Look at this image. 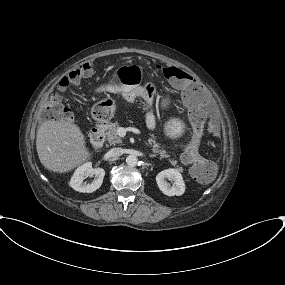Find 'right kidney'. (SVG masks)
Here are the masks:
<instances>
[{
    "instance_id": "obj_1",
    "label": "right kidney",
    "mask_w": 285,
    "mask_h": 285,
    "mask_svg": "<svg viewBox=\"0 0 285 285\" xmlns=\"http://www.w3.org/2000/svg\"><path fill=\"white\" fill-rule=\"evenodd\" d=\"M94 176V180L89 184H86L84 179L86 177ZM105 176V170L103 168H92V164L87 162L77 168L70 180V186L78 192L92 193L99 189L102 185Z\"/></svg>"
}]
</instances>
